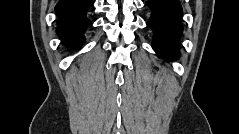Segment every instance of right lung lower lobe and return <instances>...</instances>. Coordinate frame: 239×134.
Listing matches in <instances>:
<instances>
[{"label": "right lung lower lobe", "instance_id": "obj_1", "mask_svg": "<svg viewBox=\"0 0 239 134\" xmlns=\"http://www.w3.org/2000/svg\"><path fill=\"white\" fill-rule=\"evenodd\" d=\"M92 5L90 0H60L56 5L57 31L67 47L76 48L84 43V32L91 26L86 12Z\"/></svg>", "mask_w": 239, "mask_h": 134}]
</instances>
